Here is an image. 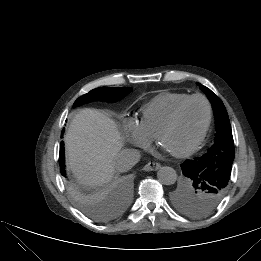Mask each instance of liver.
<instances>
[{
  "label": "liver",
  "instance_id": "1",
  "mask_svg": "<svg viewBox=\"0 0 261 261\" xmlns=\"http://www.w3.org/2000/svg\"><path fill=\"white\" fill-rule=\"evenodd\" d=\"M123 144L112 119L97 109H82L65 135L68 167L81 184L100 186L113 178V161Z\"/></svg>",
  "mask_w": 261,
  "mask_h": 261
}]
</instances>
